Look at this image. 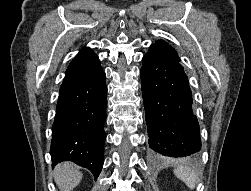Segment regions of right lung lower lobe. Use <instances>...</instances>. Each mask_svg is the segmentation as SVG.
I'll return each mask as SVG.
<instances>
[{"mask_svg":"<svg viewBox=\"0 0 251 191\" xmlns=\"http://www.w3.org/2000/svg\"><path fill=\"white\" fill-rule=\"evenodd\" d=\"M105 73L60 90L52 127V164L73 161L96 179L103 167L106 120Z\"/></svg>","mask_w":251,"mask_h":191,"instance_id":"1","label":"right lung lower lobe"}]
</instances>
